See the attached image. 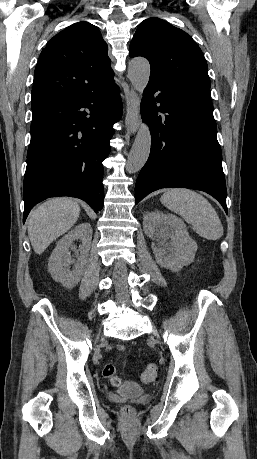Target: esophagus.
Listing matches in <instances>:
<instances>
[{
  "mask_svg": "<svg viewBox=\"0 0 257 459\" xmlns=\"http://www.w3.org/2000/svg\"><path fill=\"white\" fill-rule=\"evenodd\" d=\"M125 126L130 134H135L139 127V98L134 89L129 92L126 106Z\"/></svg>",
  "mask_w": 257,
  "mask_h": 459,
  "instance_id": "34e87169",
  "label": "esophagus"
}]
</instances>
